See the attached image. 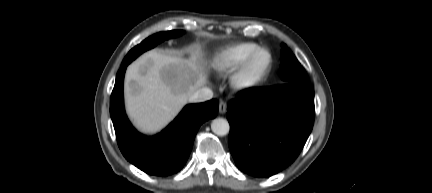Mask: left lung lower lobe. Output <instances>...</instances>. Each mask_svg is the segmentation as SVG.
<instances>
[{"label":"left lung lower lobe","instance_id":"1","mask_svg":"<svg viewBox=\"0 0 432 193\" xmlns=\"http://www.w3.org/2000/svg\"><path fill=\"white\" fill-rule=\"evenodd\" d=\"M314 115L310 84L240 91L227 113L229 148L237 167L255 177H268L286 168L307 141Z\"/></svg>","mask_w":432,"mask_h":193}]
</instances>
